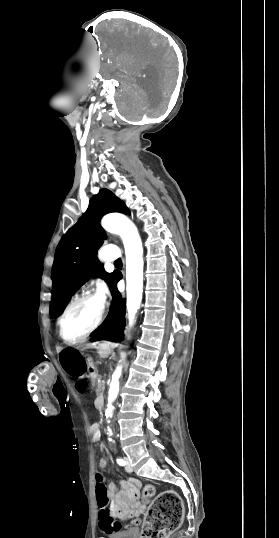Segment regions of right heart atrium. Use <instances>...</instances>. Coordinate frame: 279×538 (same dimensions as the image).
I'll return each mask as SVG.
<instances>
[{"label":"right heart atrium","instance_id":"1","mask_svg":"<svg viewBox=\"0 0 279 538\" xmlns=\"http://www.w3.org/2000/svg\"><path fill=\"white\" fill-rule=\"evenodd\" d=\"M111 232L114 233V234H117V235H119V236H121V237L123 236V234H121L120 232H117V231H115V230H113V229H111ZM129 239H130V241H131L132 243L134 242V240H133L132 237H129Z\"/></svg>","mask_w":279,"mask_h":538}]
</instances>
